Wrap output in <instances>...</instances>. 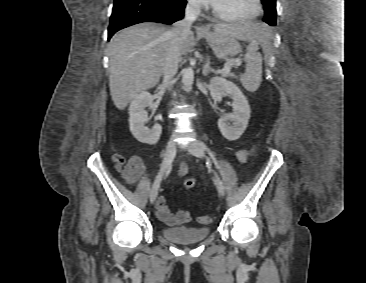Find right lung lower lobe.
Returning a JSON list of instances; mask_svg holds the SVG:
<instances>
[{
    "label": "right lung lower lobe",
    "mask_w": 366,
    "mask_h": 283,
    "mask_svg": "<svg viewBox=\"0 0 366 283\" xmlns=\"http://www.w3.org/2000/svg\"><path fill=\"white\" fill-rule=\"evenodd\" d=\"M186 0H114L108 40L120 29L142 22L172 24L184 17Z\"/></svg>",
    "instance_id": "1"
}]
</instances>
